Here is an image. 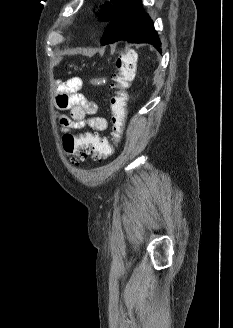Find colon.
I'll return each instance as SVG.
<instances>
[{
    "mask_svg": "<svg viewBox=\"0 0 233 328\" xmlns=\"http://www.w3.org/2000/svg\"><path fill=\"white\" fill-rule=\"evenodd\" d=\"M136 56L131 50L118 53L116 72L112 77L115 94L111 99L112 138L111 142L95 134H67L63 137L62 146L73 165L84 163L89 154L103 160L110 157L120 142L127 113V89L135 76Z\"/></svg>",
    "mask_w": 233,
    "mask_h": 328,
    "instance_id": "obj_1",
    "label": "colon"
}]
</instances>
